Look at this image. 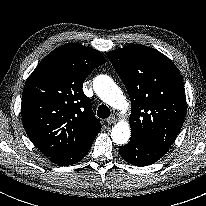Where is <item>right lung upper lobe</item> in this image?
<instances>
[{"mask_svg":"<svg viewBox=\"0 0 206 206\" xmlns=\"http://www.w3.org/2000/svg\"><path fill=\"white\" fill-rule=\"evenodd\" d=\"M104 56L90 47L65 44L49 53L27 79L21 103L24 129L34 145L49 158L72 151L101 130L85 78Z\"/></svg>","mask_w":206,"mask_h":206,"instance_id":"right-lung-upper-lobe-1","label":"right lung upper lobe"}]
</instances>
